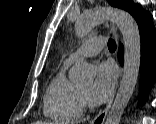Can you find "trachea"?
I'll return each instance as SVG.
<instances>
[{
    "instance_id": "3493384b",
    "label": "trachea",
    "mask_w": 156,
    "mask_h": 124,
    "mask_svg": "<svg viewBox=\"0 0 156 124\" xmlns=\"http://www.w3.org/2000/svg\"><path fill=\"white\" fill-rule=\"evenodd\" d=\"M108 49L114 51L116 49V43L114 40L109 39L108 41Z\"/></svg>"
}]
</instances>
